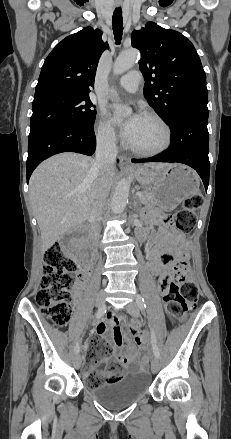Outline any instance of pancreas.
<instances>
[{
	"mask_svg": "<svg viewBox=\"0 0 231 439\" xmlns=\"http://www.w3.org/2000/svg\"><path fill=\"white\" fill-rule=\"evenodd\" d=\"M141 193H142V195L139 198L143 204H146V205H155L156 204V198L148 190H144Z\"/></svg>",
	"mask_w": 231,
	"mask_h": 439,
	"instance_id": "cf45deb5",
	"label": "pancreas"
}]
</instances>
